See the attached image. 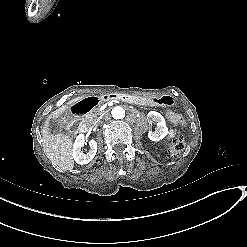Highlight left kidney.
Returning <instances> with one entry per match:
<instances>
[{
	"label": "left kidney",
	"instance_id": "left-kidney-1",
	"mask_svg": "<svg viewBox=\"0 0 247 247\" xmlns=\"http://www.w3.org/2000/svg\"><path fill=\"white\" fill-rule=\"evenodd\" d=\"M149 115H152L156 120V124L158 125V129H156L152 133H148L147 137L150 141L159 142L163 138H165L168 134V128L166 126L165 119L163 116L157 112L151 111Z\"/></svg>",
	"mask_w": 247,
	"mask_h": 247
}]
</instances>
